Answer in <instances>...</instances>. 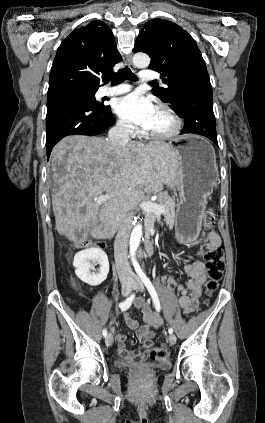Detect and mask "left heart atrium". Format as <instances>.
Here are the masks:
<instances>
[{"label":"left heart atrium","mask_w":265,"mask_h":423,"mask_svg":"<svg viewBox=\"0 0 265 423\" xmlns=\"http://www.w3.org/2000/svg\"><path fill=\"white\" fill-rule=\"evenodd\" d=\"M157 110L153 101L140 93H131L119 98L115 104V112L124 120L147 128Z\"/></svg>","instance_id":"1"}]
</instances>
